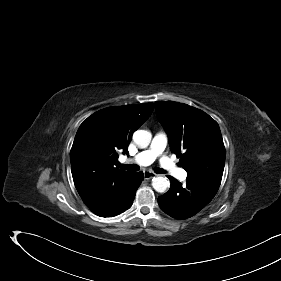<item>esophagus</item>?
Masks as SVG:
<instances>
[{
  "instance_id": "34e87169",
  "label": "esophagus",
  "mask_w": 281,
  "mask_h": 281,
  "mask_svg": "<svg viewBox=\"0 0 281 281\" xmlns=\"http://www.w3.org/2000/svg\"><path fill=\"white\" fill-rule=\"evenodd\" d=\"M157 174H155L154 172L151 171H144V178L146 180H149L151 178H154Z\"/></svg>"
}]
</instances>
